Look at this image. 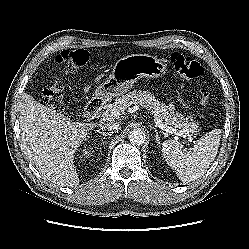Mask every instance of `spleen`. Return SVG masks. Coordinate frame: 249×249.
<instances>
[{
	"instance_id": "1",
	"label": "spleen",
	"mask_w": 249,
	"mask_h": 249,
	"mask_svg": "<svg viewBox=\"0 0 249 249\" xmlns=\"http://www.w3.org/2000/svg\"><path fill=\"white\" fill-rule=\"evenodd\" d=\"M221 130L214 129L196 141L193 148H184L176 140H166L162 153L167 164L183 182H191L203 176L214 161L219 148Z\"/></svg>"
}]
</instances>
